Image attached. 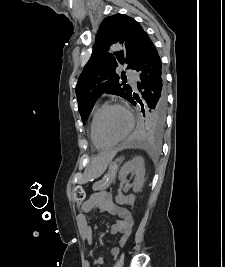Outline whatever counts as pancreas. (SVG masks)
<instances>
[{"instance_id":"pancreas-1","label":"pancreas","mask_w":225,"mask_h":267,"mask_svg":"<svg viewBox=\"0 0 225 267\" xmlns=\"http://www.w3.org/2000/svg\"><path fill=\"white\" fill-rule=\"evenodd\" d=\"M117 169L118 166L116 162L111 163L109 166L108 173L102 178V180L93 184L92 186L93 191L106 190L111 185V183L115 182Z\"/></svg>"}]
</instances>
